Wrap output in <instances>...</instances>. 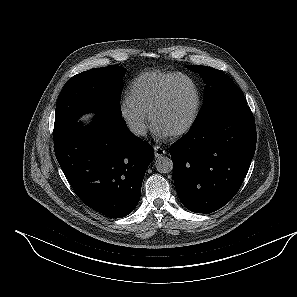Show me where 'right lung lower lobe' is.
<instances>
[{
	"label": "right lung lower lobe",
	"mask_w": 297,
	"mask_h": 297,
	"mask_svg": "<svg viewBox=\"0 0 297 297\" xmlns=\"http://www.w3.org/2000/svg\"><path fill=\"white\" fill-rule=\"evenodd\" d=\"M54 145L62 171L88 207L111 218L135 209L154 151L122 117L97 113L88 127L77 122Z\"/></svg>",
	"instance_id": "1"
}]
</instances>
